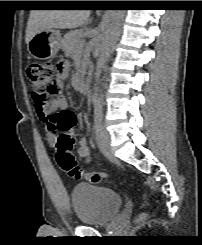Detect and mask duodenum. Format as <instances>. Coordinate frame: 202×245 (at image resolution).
<instances>
[{
    "mask_svg": "<svg viewBox=\"0 0 202 245\" xmlns=\"http://www.w3.org/2000/svg\"><path fill=\"white\" fill-rule=\"evenodd\" d=\"M91 72H92V68L91 66H89L88 68V72H87V76L84 79L83 85H82V90L86 91L89 89L90 87V83H91Z\"/></svg>",
    "mask_w": 202,
    "mask_h": 245,
    "instance_id": "1",
    "label": "duodenum"
}]
</instances>
